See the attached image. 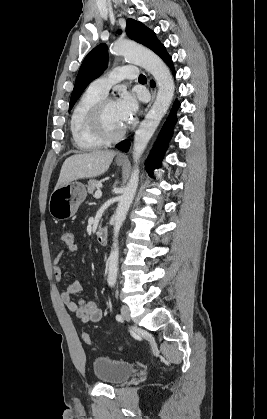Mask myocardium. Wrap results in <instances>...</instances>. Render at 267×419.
Here are the masks:
<instances>
[{"label": "myocardium", "mask_w": 267, "mask_h": 419, "mask_svg": "<svg viewBox=\"0 0 267 419\" xmlns=\"http://www.w3.org/2000/svg\"><path fill=\"white\" fill-rule=\"evenodd\" d=\"M115 101L112 97L104 96L91 109L89 123L94 135L104 143H111L120 140L127 132V126L117 133H110L104 124V112L107 105Z\"/></svg>", "instance_id": "f54148a6"}]
</instances>
